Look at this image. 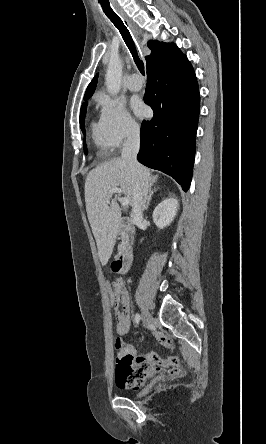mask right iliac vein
Masks as SVG:
<instances>
[{
	"label": "right iliac vein",
	"mask_w": 266,
	"mask_h": 444,
	"mask_svg": "<svg viewBox=\"0 0 266 444\" xmlns=\"http://www.w3.org/2000/svg\"><path fill=\"white\" fill-rule=\"evenodd\" d=\"M141 318H142L143 325L145 327H148L150 324V321H151V316L146 309H143L142 314H141Z\"/></svg>",
	"instance_id": "right-iliac-vein-1"
}]
</instances>
